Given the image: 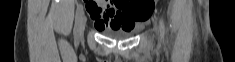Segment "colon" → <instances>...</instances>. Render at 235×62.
<instances>
[{
  "label": "colon",
  "mask_w": 235,
  "mask_h": 62,
  "mask_svg": "<svg viewBox=\"0 0 235 62\" xmlns=\"http://www.w3.org/2000/svg\"><path fill=\"white\" fill-rule=\"evenodd\" d=\"M153 6H154L153 0L127 1V3L125 4V13L129 17L139 22H144L152 14Z\"/></svg>",
  "instance_id": "1"
}]
</instances>
